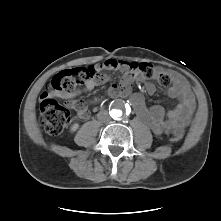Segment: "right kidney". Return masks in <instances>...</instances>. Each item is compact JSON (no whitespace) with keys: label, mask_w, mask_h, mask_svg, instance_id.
<instances>
[{"label":"right kidney","mask_w":221,"mask_h":221,"mask_svg":"<svg viewBox=\"0 0 221 221\" xmlns=\"http://www.w3.org/2000/svg\"><path fill=\"white\" fill-rule=\"evenodd\" d=\"M78 124L77 123H75V124H73L72 126H71V132H74V131H76L77 129H78Z\"/></svg>","instance_id":"right-kidney-1"}]
</instances>
